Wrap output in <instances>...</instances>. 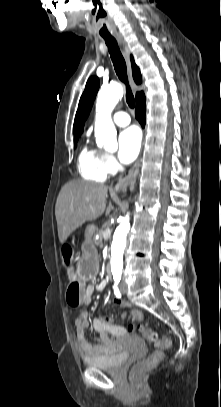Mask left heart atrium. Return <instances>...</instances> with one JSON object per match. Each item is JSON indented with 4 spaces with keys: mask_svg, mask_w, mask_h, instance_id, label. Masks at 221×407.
<instances>
[{
    "mask_svg": "<svg viewBox=\"0 0 221 407\" xmlns=\"http://www.w3.org/2000/svg\"><path fill=\"white\" fill-rule=\"evenodd\" d=\"M141 134L136 127H129L119 135L118 157L122 163L134 161L140 151Z\"/></svg>",
    "mask_w": 221,
    "mask_h": 407,
    "instance_id": "1",
    "label": "left heart atrium"
}]
</instances>
